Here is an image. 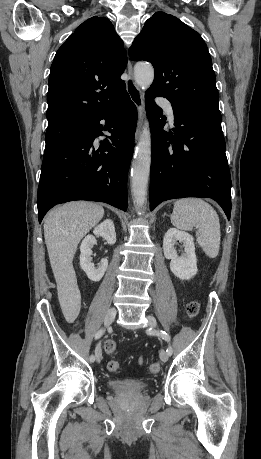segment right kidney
Wrapping results in <instances>:
<instances>
[{
  "instance_id": "1",
  "label": "right kidney",
  "mask_w": 261,
  "mask_h": 459,
  "mask_svg": "<svg viewBox=\"0 0 261 459\" xmlns=\"http://www.w3.org/2000/svg\"><path fill=\"white\" fill-rule=\"evenodd\" d=\"M93 234L95 236H101L109 245H113L116 242L114 223L110 219H107L96 226L93 230ZM95 236L88 235L82 241L80 246V266L91 281L98 282L104 276L108 267V260L103 258L97 269L91 262V249L97 243Z\"/></svg>"
}]
</instances>
